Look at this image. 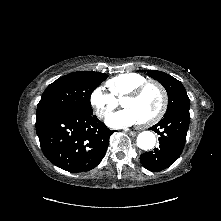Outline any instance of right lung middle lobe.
I'll return each instance as SVG.
<instances>
[{
    "label": "right lung middle lobe",
    "mask_w": 221,
    "mask_h": 221,
    "mask_svg": "<svg viewBox=\"0 0 221 221\" xmlns=\"http://www.w3.org/2000/svg\"><path fill=\"white\" fill-rule=\"evenodd\" d=\"M106 78L107 74L93 71H78L60 77L42 94L36 119L65 109L93 113L90 96Z\"/></svg>",
    "instance_id": "obj_1"
}]
</instances>
